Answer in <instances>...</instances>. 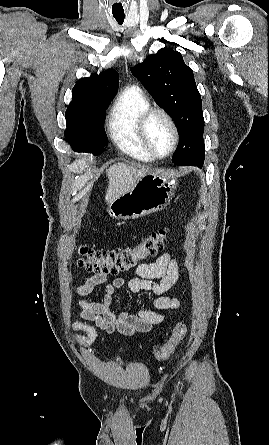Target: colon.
<instances>
[{"label": "colon", "mask_w": 269, "mask_h": 445, "mask_svg": "<svg viewBox=\"0 0 269 445\" xmlns=\"http://www.w3.org/2000/svg\"><path fill=\"white\" fill-rule=\"evenodd\" d=\"M169 228L152 232L135 247L121 250H102L85 245L77 248L78 265L89 271L118 274L134 269L141 260L157 255L168 243ZM187 333V326L179 322L173 328L171 338L155 351V357L165 360L175 351Z\"/></svg>", "instance_id": "obj_1"}]
</instances>
